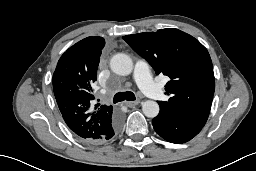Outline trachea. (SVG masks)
<instances>
[{
    "mask_svg": "<svg viewBox=\"0 0 256 171\" xmlns=\"http://www.w3.org/2000/svg\"><path fill=\"white\" fill-rule=\"evenodd\" d=\"M135 99H136V97H135L134 93H132L130 91L118 92L115 94V96L113 98V103L121 102L124 100L134 101Z\"/></svg>",
    "mask_w": 256,
    "mask_h": 171,
    "instance_id": "1",
    "label": "trachea"
}]
</instances>
